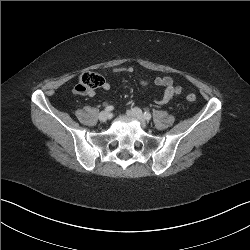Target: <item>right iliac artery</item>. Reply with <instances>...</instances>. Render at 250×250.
Here are the masks:
<instances>
[{"label": "right iliac artery", "mask_w": 250, "mask_h": 250, "mask_svg": "<svg viewBox=\"0 0 250 250\" xmlns=\"http://www.w3.org/2000/svg\"><path fill=\"white\" fill-rule=\"evenodd\" d=\"M105 110L106 111H112L113 110V106H107V107H105Z\"/></svg>", "instance_id": "1"}]
</instances>
